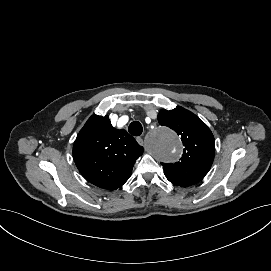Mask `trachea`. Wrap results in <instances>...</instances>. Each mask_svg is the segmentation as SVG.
Wrapping results in <instances>:
<instances>
[{"mask_svg":"<svg viewBox=\"0 0 271 271\" xmlns=\"http://www.w3.org/2000/svg\"><path fill=\"white\" fill-rule=\"evenodd\" d=\"M128 131L133 136H140L143 132V127L140 122L134 121L129 125Z\"/></svg>","mask_w":271,"mask_h":271,"instance_id":"3493384b","label":"trachea"}]
</instances>
